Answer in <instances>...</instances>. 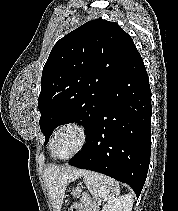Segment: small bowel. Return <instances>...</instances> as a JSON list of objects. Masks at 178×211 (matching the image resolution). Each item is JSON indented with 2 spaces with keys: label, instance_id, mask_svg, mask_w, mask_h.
<instances>
[{
  "label": "small bowel",
  "instance_id": "1",
  "mask_svg": "<svg viewBox=\"0 0 178 211\" xmlns=\"http://www.w3.org/2000/svg\"><path fill=\"white\" fill-rule=\"evenodd\" d=\"M77 211H99L98 206L90 199H84Z\"/></svg>",
  "mask_w": 178,
  "mask_h": 211
}]
</instances>
